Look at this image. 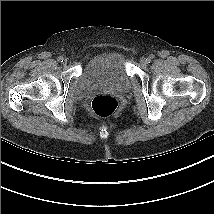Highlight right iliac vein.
Wrapping results in <instances>:
<instances>
[{
	"mask_svg": "<svg viewBox=\"0 0 214 214\" xmlns=\"http://www.w3.org/2000/svg\"><path fill=\"white\" fill-rule=\"evenodd\" d=\"M67 62H68L67 59H64V64H65V65L67 64Z\"/></svg>",
	"mask_w": 214,
	"mask_h": 214,
	"instance_id": "63e3f726",
	"label": "right iliac vein"
}]
</instances>
